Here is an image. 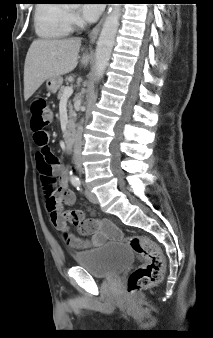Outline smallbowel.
Wrapping results in <instances>:
<instances>
[{
	"label": "small bowel",
	"mask_w": 213,
	"mask_h": 338,
	"mask_svg": "<svg viewBox=\"0 0 213 338\" xmlns=\"http://www.w3.org/2000/svg\"><path fill=\"white\" fill-rule=\"evenodd\" d=\"M44 152L46 156L54 160L53 168L55 169L54 173H57L59 178L62 202L67 205H73L76 200V195L68 190V173L65 171L64 167L60 165V160L53 155L49 149L46 148ZM41 179L43 185H45V177L41 176ZM72 213L76 217L77 222L75 224L78 225L80 233L86 240L68 234V215L62 210L57 211L52 222L58 230L65 233V240L72 250H87L91 247V243H98L105 240H117L119 238V232L110 220H100L97 218L85 220L84 213L81 210H73Z\"/></svg>",
	"instance_id": "small-bowel-1"
}]
</instances>
